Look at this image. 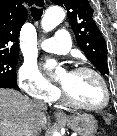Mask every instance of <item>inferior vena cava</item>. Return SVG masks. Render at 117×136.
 <instances>
[{"instance_id": "1", "label": "inferior vena cava", "mask_w": 117, "mask_h": 136, "mask_svg": "<svg viewBox=\"0 0 117 136\" xmlns=\"http://www.w3.org/2000/svg\"><path fill=\"white\" fill-rule=\"evenodd\" d=\"M33 103H34L35 108L38 111H42V110H46L47 109V106H46V104L43 101L35 100ZM36 109L33 111L35 114L38 112Z\"/></svg>"}]
</instances>
